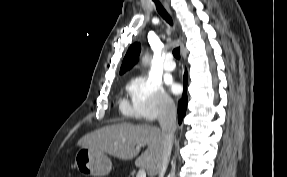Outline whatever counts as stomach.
I'll return each instance as SVG.
<instances>
[{
	"label": "stomach",
	"instance_id": "0dacf381",
	"mask_svg": "<svg viewBox=\"0 0 287 177\" xmlns=\"http://www.w3.org/2000/svg\"><path fill=\"white\" fill-rule=\"evenodd\" d=\"M75 166L82 174L94 177H103L110 173L112 163L103 152L81 147L75 155Z\"/></svg>",
	"mask_w": 287,
	"mask_h": 177
}]
</instances>
